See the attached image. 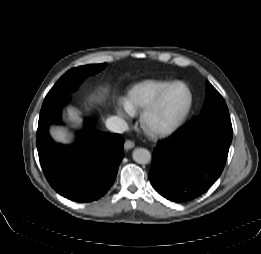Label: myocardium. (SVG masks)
Returning <instances> with one entry per match:
<instances>
[{
  "label": "myocardium",
  "mask_w": 261,
  "mask_h": 254,
  "mask_svg": "<svg viewBox=\"0 0 261 254\" xmlns=\"http://www.w3.org/2000/svg\"><path fill=\"white\" fill-rule=\"evenodd\" d=\"M175 86H183L187 89L189 94V102L184 111L170 123H158L155 121V114L160 109V106L167 95V93ZM194 103V96L191 88L184 82L176 81L170 83L157 97V99L146 109L143 110L140 116V123L142 129L146 134L152 137H164L175 132L186 120L192 110Z\"/></svg>",
  "instance_id": "f54148a6"
}]
</instances>
